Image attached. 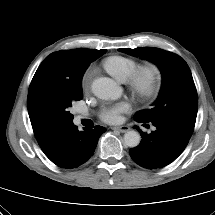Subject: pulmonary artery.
<instances>
[{"label":"pulmonary artery","mask_w":215,"mask_h":215,"mask_svg":"<svg viewBox=\"0 0 215 215\" xmlns=\"http://www.w3.org/2000/svg\"><path fill=\"white\" fill-rule=\"evenodd\" d=\"M83 118H84V116H81V115L77 116L76 117V122H80Z\"/></svg>","instance_id":"pulmonary-artery-1"}]
</instances>
